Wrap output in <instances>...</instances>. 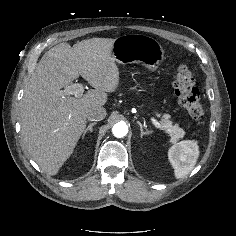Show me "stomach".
Masks as SVG:
<instances>
[{
  "mask_svg": "<svg viewBox=\"0 0 236 236\" xmlns=\"http://www.w3.org/2000/svg\"><path fill=\"white\" fill-rule=\"evenodd\" d=\"M112 56L119 64L141 63L153 72L164 60V49L150 36L126 34L114 40Z\"/></svg>",
  "mask_w": 236,
  "mask_h": 236,
  "instance_id": "0dacf381",
  "label": "stomach"
}]
</instances>
